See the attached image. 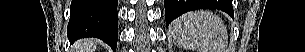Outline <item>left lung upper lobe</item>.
<instances>
[{"instance_id":"5c2ea615","label":"left lung upper lobe","mask_w":305,"mask_h":52,"mask_svg":"<svg viewBox=\"0 0 305 52\" xmlns=\"http://www.w3.org/2000/svg\"><path fill=\"white\" fill-rule=\"evenodd\" d=\"M209 4L216 8H226L230 4L228 0H207Z\"/></svg>"}]
</instances>
